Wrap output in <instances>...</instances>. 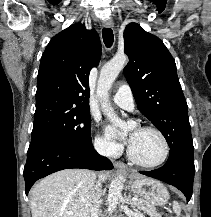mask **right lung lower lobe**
<instances>
[{"label":"right lung lower lobe","mask_w":211,"mask_h":217,"mask_svg":"<svg viewBox=\"0 0 211 217\" xmlns=\"http://www.w3.org/2000/svg\"><path fill=\"white\" fill-rule=\"evenodd\" d=\"M69 168L110 170L113 165L108 158L99 155L92 144L79 147L57 139H32L24 167L26 194L38 179Z\"/></svg>","instance_id":"1"}]
</instances>
